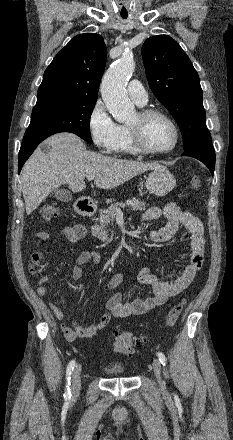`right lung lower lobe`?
Here are the masks:
<instances>
[{
  "label": "right lung lower lobe",
  "mask_w": 233,
  "mask_h": 440,
  "mask_svg": "<svg viewBox=\"0 0 233 440\" xmlns=\"http://www.w3.org/2000/svg\"><path fill=\"white\" fill-rule=\"evenodd\" d=\"M60 131H44V130H40V131H34V130H26L23 141H22V145H21V149L19 151V169L18 171L20 172L23 164L25 163V161L29 158V156L33 153V151L35 150V148L37 147V145L42 142L44 139H46L47 137L55 134V133H59Z\"/></svg>",
  "instance_id": "right-lung-lower-lobe-1"
}]
</instances>
